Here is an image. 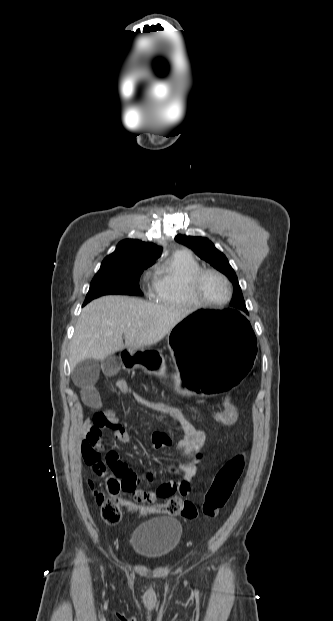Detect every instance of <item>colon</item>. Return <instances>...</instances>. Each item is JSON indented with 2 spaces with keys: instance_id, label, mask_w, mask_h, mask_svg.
Masks as SVG:
<instances>
[{
  "instance_id": "5ec220e1",
  "label": "colon",
  "mask_w": 333,
  "mask_h": 621,
  "mask_svg": "<svg viewBox=\"0 0 333 621\" xmlns=\"http://www.w3.org/2000/svg\"><path fill=\"white\" fill-rule=\"evenodd\" d=\"M131 396L138 404L153 411L167 414L172 418L187 419L189 411L180 402L160 395L143 394L132 388L127 382ZM221 425H230L238 418V408L232 398L228 396L220 409L212 415ZM188 420V419H187ZM245 466V456L240 453L228 460L216 474L210 488L207 490L202 505L205 516L215 518L227 504ZM97 477L104 481L103 485L89 480L94 491L96 503L100 506L102 519L108 524H116L122 518V506L126 503L118 497L121 491L130 492L138 483L137 475L129 467L112 468L107 463H101L95 471ZM142 513H166L180 515L185 519L193 520L197 517L196 506L188 500L177 497L170 498L162 504H150L141 510Z\"/></svg>"
}]
</instances>
